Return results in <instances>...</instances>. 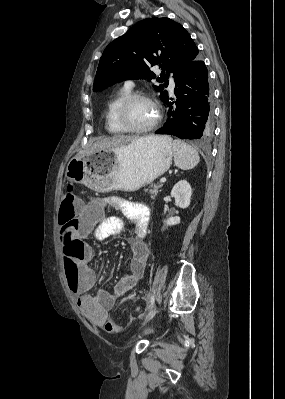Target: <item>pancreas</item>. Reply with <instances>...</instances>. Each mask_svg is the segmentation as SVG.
I'll return each mask as SVG.
<instances>
[{
    "label": "pancreas",
    "mask_w": 285,
    "mask_h": 399,
    "mask_svg": "<svg viewBox=\"0 0 285 399\" xmlns=\"http://www.w3.org/2000/svg\"><path fill=\"white\" fill-rule=\"evenodd\" d=\"M162 187V185H158V184H152L150 186V194H151V198L154 199L158 193V190ZM145 191H148V189H144Z\"/></svg>",
    "instance_id": "obj_1"
}]
</instances>
